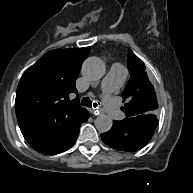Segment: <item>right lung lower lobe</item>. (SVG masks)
<instances>
[{
    "mask_svg": "<svg viewBox=\"0 0 193 193\" xmlns=\"http://www.w3.org/2000/svg\"><path fill=\"white\" fill-rule=\"evenodd\" d=\"M88 117H89V114L82 122L86 121L88 119ZM82 122H81V124H82ZM80 125L74 130V132L67 139H65L59 145L51 147V148H46V149L40 150L38 152L43 153V154L53 155V154H57V153H61L63 151H66L75 143V141L78 137Z\"/></svg>",
    "mask_w": 193,
    "mask_h": 193,
    "instance_id": "1",
    "label": "right lung lower lobe"
}]
</instances>
